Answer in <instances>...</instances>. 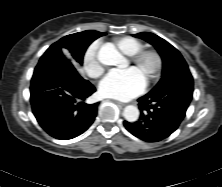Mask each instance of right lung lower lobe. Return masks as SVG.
Here are the masks:
<instances>
[{
  "instance_id": "right-lung-lower-lobe-1",
  "label": "right lung lower lobe",
  "mask_w": 222,
  "mask_h": 187,
  "mask_svg": "<svg viewBox=\"0 0 222 187\" xmlns=\"http://www.w3.org/2000/svg\"><path fill=\"white\" fill-rule=\"evenodd\" d=\"M95 90L63 55L44 53L31 80L33 114L50 136L60 140L75 138L95 120L98 103H85Z\"/></svg>"
}]
</instances>
